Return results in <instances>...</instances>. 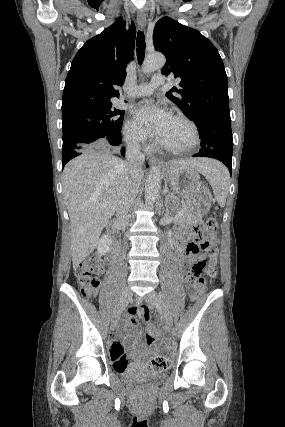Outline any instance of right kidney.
Wrapping results in <instances>:
<instances>
[{
  "instance_id": "1",
  "label": "right kidney",
  "mask_w": 285,
  "mask_h": 427,
  "mask_svg": "<svg viewBox=\"0 0 285 427\" xmlns=\"http://www.w3.org/2000/svg\"><path fill=\"white\" fill-rule=\"evenodd\" d=\"M111 246V240L108 235H103L97 242V252L100 255H105Z\"/></svg>"
}]
</instances>
